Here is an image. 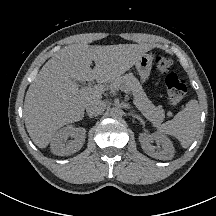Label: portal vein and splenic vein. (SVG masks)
I'll use <instances>...</instances> for the list:
<instances>
[{
  "instance_id": "portal-vein-and-splenic-vein-1",
  "label": "portal vein and splenic vein",
  "mask_w": 216,
  "mask_h": 216,
  "mask_svg": "<svg viewBox=\"0 0 216 216\" xmlns=\"http://www.w3.org/2000/svg\"><path fill=\"white\" fill-rule=\"evenodd\" d=\"M94 89V87L91 86H83L81 87L80 91L81 92H91ZM120 90L125 92L126 94H130V91L128 90V88H126L125 86H121ZM137 107V106H136Z\"/></svg>"
}]
</instances>
